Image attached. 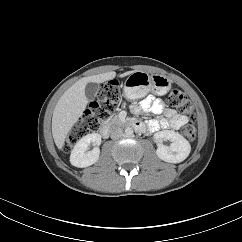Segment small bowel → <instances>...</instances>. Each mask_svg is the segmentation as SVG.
<instances>
[{
	"mask_svg": "<svg viewBox=\"0 0 242 242\" xmlns=\"http://www.w3.org/2000/svg\"><path fill=\"white\" fill-rule=\"evenodd\" d=\"M133 110L134 112H152L154 114L164 115V118L151 120L147 123L136 121L135 127L140 131H157L160 129L177 130L188 121L187 116L165 107L160 99H156L152 95L145 97L139 106L133 107Z\"/></svg>",
	"mask_w": 242,
	"mask_h": 242,
	"instance_id": "1",
	"label": "small bowel"
}]
</instances>
